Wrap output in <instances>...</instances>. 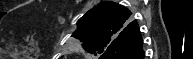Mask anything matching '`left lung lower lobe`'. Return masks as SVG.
I'll use <instances>...</instances> for the list:
<instances>
[{"instance_id": "1", "label": "left lung lower lobe", "mask_w": 193, "mask_h": 59, "mask_svg": "<svg viewBox=\"0 0 193 59\" xmlns=\"http://www.w3.org/2000/svg\"><path fill=\"white\" fill-rule=\"evenodd\" d=\"M142 37L136 21L131 22L120 39L101 55L100 59H144Z\"/></svg>"}]
</instances>
